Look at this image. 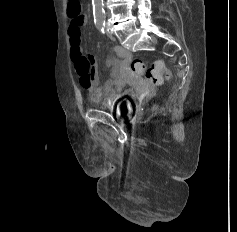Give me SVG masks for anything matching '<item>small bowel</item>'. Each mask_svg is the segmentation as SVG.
I'll use <instances>...</instances> for the list:
<instances>
[{
    "mask_svg": "<svg viewBox=\"0 0 237 232\" xmlns=\"http://www.w3.org/2000/svg\"><path fill=\"white\" fill-rule=\"evenodd\" d=\"M87 21L86 15L80 18H71L68 25L69 39L71 45V57L75 65L76 72L80 79V84L89 94L93 101L105 100L112 104L124 97L126 82L124 75L129 71L131 54L123 47H113L116 60H108L109 78L99 84L98 70L93 55L85 56L81 47V28Z\"/></svg>",
    "mask_w": 237,
    "mask_h": 232,
    "instance_id": "small-bowel-1",
    "label": "small bowel"
}]
</instances>
